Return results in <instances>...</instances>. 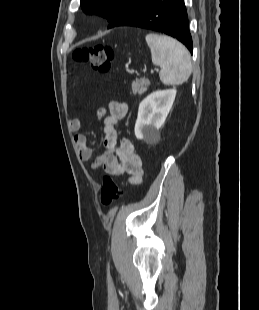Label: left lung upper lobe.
Here are the masks:
<instances>
[{"label": "left lung upper lobe", "mask_w": 259, "mask_h": 310, "mask_svg": "<svg viewBox=\"0 0 259 310\" xmlns=\"http://www.w3.org/2000/svg\"><path fill=\"white\" fill-rule=\"evenodd\" d=\"M149 0H81L80 5L86 14L105 17L112 28L130 10Z\"/></svg>", "instance_id": "obj_1"}]
</instances>
